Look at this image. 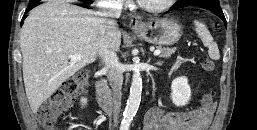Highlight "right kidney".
I'll return each mask as SVG.
<instances>
[{
    "instance_id": "obj_1",
    "label": "right kidney",
    "mask_w": 257,
    "mask_h": 130,
    "mask_svg": "<svg viewBox=\"0 0 257 130\" xmlns=\"http://www.w3.org/2000/svg\"><path fill=\"white\" fill-rule=\"evenodd\" d=\"M81 103H82V105H85L87 103V99L86 98H82L81 99Z\"/></svg>"
}]
</instances>
